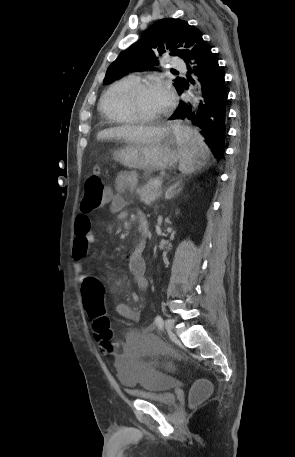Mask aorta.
<instances>
[{
  "mask_svg": "<svg viewBox=\"0 0 295 457\" xmlns=\"http://www.w3.org/2000/svg\"><path fill=\"white\" fill-rule=\"evenodd\" d=\"M192 105H193V109L196 110V108L198 106V97H193Z\"/></svg>",
  "mask_w": 295,
  "mask_h": 457,
  "instance_id": "aorta-1",
  "label": "aorta"
}]
</instances>
